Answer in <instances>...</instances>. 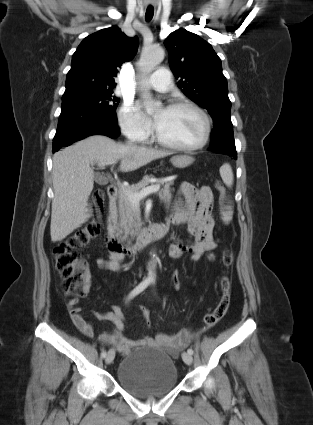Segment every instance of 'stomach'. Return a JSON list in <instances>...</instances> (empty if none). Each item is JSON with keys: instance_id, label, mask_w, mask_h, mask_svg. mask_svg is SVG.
<instances>
[{"instance_id": "1", "label": "stomach", "mask_w": 313, "mask_h": 425, "mask_svg": "<svg viewBox=\"0 0 313 425\" xmlns=\"http://www.w3.org/2000/svg\"><path fill=\"white\" fill-rule=\"evenodd\" d=\"M170 161L176 168H186L194 162V158L189 155H175Z\"/></svg>"}]
</instances>
